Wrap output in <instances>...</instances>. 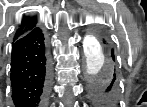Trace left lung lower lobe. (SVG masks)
Here are the masks:
<instances>
[{
	"label": "left lung lower lobe",
	"instance_id": "obj_1",
	"mask_svg": "<svg viewBox=\"0 0 147 107\" xmlns=\"http://www.w3.org/2000/svg\"><path fill=\"white\" fill-rule=\"evenodd\" d=\"M104 43L107 42L104 40ZM107 55L115 61L113 49L106 47ZM117 77L112 74L107 78H96L88 88V94L95 107H114L116 101Z\"/></svg>",
	"mask_w": 147,
	"mask_h": 107
}]
</instances>
